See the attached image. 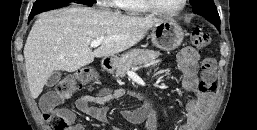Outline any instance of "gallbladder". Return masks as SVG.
I'll use <instances>...</instances> for the list:
<instances>
[{
  "label": "gallbladder",
  "instance_id": "bac80fb5",
  "mask_svg": "<svg viewBox=\"0 0 257 130\" xmlns=\"http://www.w3.org/2000/svg\"><path fill=\"white\" fill-rule=\"evenodd\" d=\"M60 78H61V72L54 71L47 79L46 86L53 87L59 82Z\"/></svg>",
  "mask_w": 257,
  "mask_h": 130
}]
</instances>
